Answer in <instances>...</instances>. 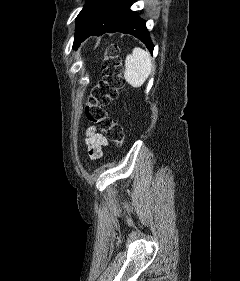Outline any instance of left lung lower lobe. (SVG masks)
Listing matches in <instances>:
<instances>
[{
	"label": "left lung lower lobe",
	"mask_w": 240,
	"mask_h": 281,
	"mask_svg": "<svg viewBox=\"0 0 240 281\" xmlns=\"http://www.w3.org/2000/svg\"><path fill=\"white\" fill-rule=\"evenodd\" d=\"M131 0H103L78 35L74 48L92 35L122 32L135 36L153 52V44L145 21L130 10Z\"/></svg>",
	"instance_id": "1"
}]
</instances>
